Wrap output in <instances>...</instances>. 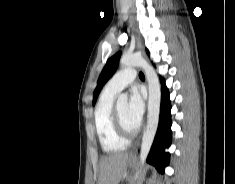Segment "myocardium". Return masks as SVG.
Returning <instances> with one entry per match:
<instances>
[{
    "instance_id": "myocardium-1",
    "label": "myocardium",
    "mask_w": 235,
    "mask_h": 184,
    "mask_svg": "<svg viewBox=\"0 0 235 184\" xmlns=\"http://www.w3.org/2000/svg\"><path fill=\"white\" fill-rule=\"evenodd\" d=\"M113 122L117 134L125 141H133L138 138L141 128H137L134 132H129L122 124L117 109H113Z\"/></svg>"
}]
</instances>
